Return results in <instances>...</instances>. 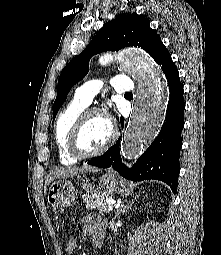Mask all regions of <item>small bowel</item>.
<instances>
[{"mask_svg": "<svg viewBox=\"0 0 221 255\" xmlns=\"http://www.w3.org/2000/svg\"><path fill=\"white\" fill-rule=\"evenodd\" d=\"M78 231L83 236H91L93 241L103 239L104 227L101 219L95 215H89L83 218L78 224ZM77 248L76 239L72 238L67 243V252L71 255Z\"/></svg>", "mask_w": 221, "mask_h": 255, "instance_id": "small-bowel-1", "label": "small bowel"}]
</instances>
